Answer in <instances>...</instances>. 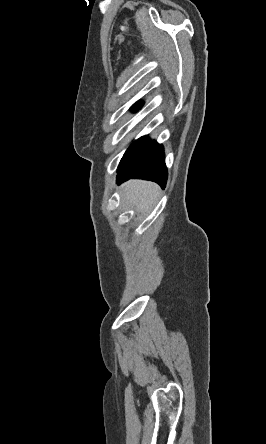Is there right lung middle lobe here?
<instances>
[{
  "label": "right lung middle lobe",
  "mask_w": 266,
  "mask_h": 444,
  "mask_svg": "<svg viewBox=\"0 0 266 444\" xmlns=\"http://www.w3.org/2000/svg\"><path fill=\"white\" fill-rule=\"evenodd\" d=\"M142 105H143V101H141V102H137V103H135L131 108H132L133 110H135V108H136V110H138V109H140V108L142 107Z\"/></svg>",
  "instance_id": "obj_1"
}]
</instances>
